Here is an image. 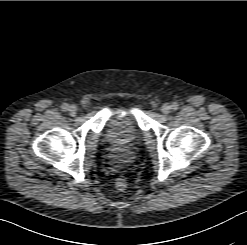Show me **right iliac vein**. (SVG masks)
<instances>
[{
  "mask_svg": "<svg viewBox=\"0 0 247 245\" xmlns=\"http://www.w3.org/2000/svg\"><path fill=\"white\" fill-rule=\"evenodd\" d=\"M77 107L75 105H70L68 107V112L71 116H75L77 114Z\"/></svg>",
  "mask_w": 247,
  "mask_h": 245,
  "instance_id": "right-iliac-vein-1",
  "label": "right iliac vein"
}]
</instances>
